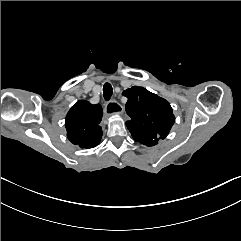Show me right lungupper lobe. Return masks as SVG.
<instances>
[{"label": "right lung upper lobe", "instance_id": "right-lung-upper-lobe-1", "mask_svg": "<svg viewBox=\"0 0 241 241\" xmlns=\"http://www.w3.org/2000/svg\"><path fill=\"white\" fill-rule=\"evenodd\" d=\"M102 115L99 104L93 105L86 100L77 101L65 120L68 139L85 149L97 146L102 137V128L99 126Z\"/></svg>", "mask_w": 241, "mask_h": 241}]
</instances>
